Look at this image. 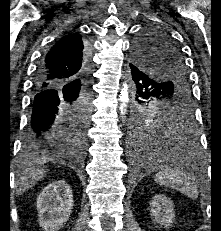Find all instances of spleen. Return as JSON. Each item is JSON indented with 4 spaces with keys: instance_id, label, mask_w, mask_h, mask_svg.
<instances>
[{
    "instance_id": "1",
    "label": "spleen",
    "mask_w": 221,
    "mask_h": 231,
    "mask_svg": "<svg viewBox=\"0 0 221 231\" xmlns=\"http://www.w3.org/2000/svg\"><path fill=\"white\" fill-rule=\"evenodd\" d=\"M158 184L181 192L191 199L198 197L199 191L194 180L179 168L171 169L166 167L154 176Z\"/></svg>"
}]
</instances>
